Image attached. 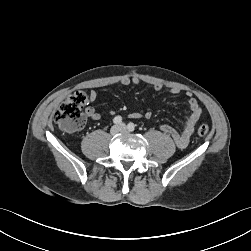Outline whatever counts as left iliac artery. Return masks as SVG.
I'll list each match as a JSON object with an SVG mask.
<instances>
[{
  "mask_svg": "<svg viewBox=\"0 0 251 251\" xmlns=\"http://www.w3.org/2000/svg\"><path fill=\"white\" fill-rule=\"evenodd\" d=\"M127 128H128V130L129 131H134L135 130V125H134V123H132V122H130L128 125H127Z\"/></svg>",
  "mask_w": 251,
  "mask_h": 251,
  "instance_id": "left-iliac-artery-1",
  "label": "left iliac artery"
}]
</instances>
